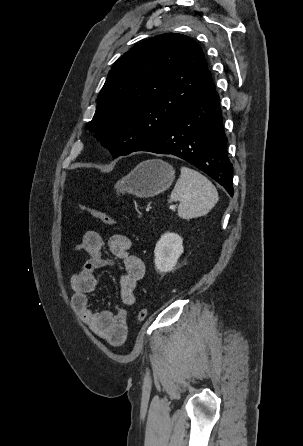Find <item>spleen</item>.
Masks as SVG:
<instances>
[{
    "mask_svg": "<svg viewBox=\"0 0 303 446\" xmlns=\"http://www.w3.org/2000/svg\"><path fill=\"white\" fill-rule=\"evenodd\" d=\"M180 201L178 215L191 219L206 215L218 202L215 186L194 169L181 167V174L170 195L169 202Z\"/></svg>",
    "mask_w": 303,
    "mask_h": 446,
    "instance_id": "obj_1",
    "label": "spleen"
}]
</instances>
